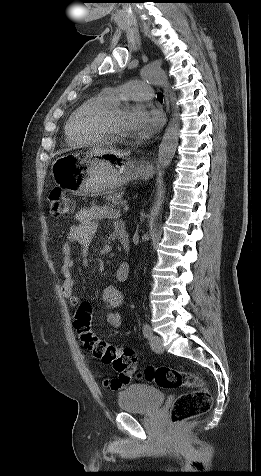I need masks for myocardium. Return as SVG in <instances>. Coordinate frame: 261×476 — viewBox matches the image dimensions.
Instances as JSON below:
<instances>
[{"label":"myocardium","mask_w":261,"mask_h":476,"mask_svg":"<svg viewBox=\"0 0 261 476\" xmlns=\"http://www.w3.org/2000/svg\"><path fill=\"white\" fill-rule=\"evenodd\" d=\"M125 103L112 102L98 106L88 112L85 125L89 131L100 136L105 141H125L127 136L117 133L110 125V119L118 112L127 110Z\"/></svg>","instance_id":"obj_1"}]
</instances>
